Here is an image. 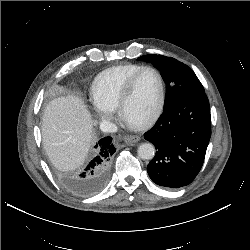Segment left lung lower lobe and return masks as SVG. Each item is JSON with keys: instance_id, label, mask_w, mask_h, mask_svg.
Listing matches in <instances>:
<instances>
[{"instance_id": "obj_1", "label": "left lung lower lobe", "mask_w": 250, "mask_h": 250, "mask_svg": "<svg viewBox=\"0 0 250 250\" xmlns=\"http://www.w3.org/2000/svg\"><path fill=\"white\" fill-rule=\"evenodd\" d=\"M210 136V107L205 93L164 109L156 124L144 134L157 150L147 165L151 180L168 188L190 184L203 165Z\"/></svg>"}]
</instances>
